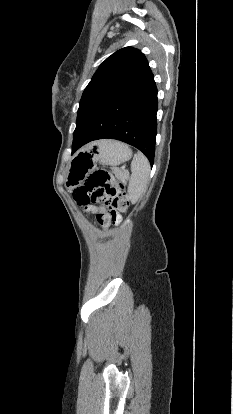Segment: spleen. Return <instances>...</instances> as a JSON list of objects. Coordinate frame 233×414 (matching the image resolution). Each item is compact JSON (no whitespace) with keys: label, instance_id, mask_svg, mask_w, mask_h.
<instances>
[{"label":"spleen","instance_id":"spleen-1","mask_svg":"<svg viewBox=\"0 0 233 414\" xmlns=\"http://www.w3.org/2000/svg\"><path fill=\"white\" fill-rule=\"evenodd\" d=\"M149 174V161L141 152H138L134 155L131 163V177L128 185V197L132 204L137 203L145 193L148 186Z\"/></svg>","mask_w":233,"mask_h":414}]
</instances>
